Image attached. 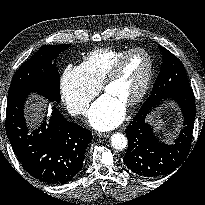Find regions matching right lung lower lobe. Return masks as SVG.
I'll use <instances>...</instances> for the list:
<instances>
[{
  "mask_svg": "<svg viewBox=\"0 0 205 205\" xmlns=\"http://www.w3.org/2000/svg\"><path fill=\"white\" fill-rule=\"evenodd\" d=\"M29 93L8 95L6 133L24 169L34 178L53 185L70 181L83 167L85 149L92 139L89 130L67 121L53 106L49 124L29 133L24 103Z\"/></svg>",
  "mask_w": 205,
  "mask_h": 205,
  "instance_id": "1",
  "label": "right lung lower lobe"
}]
</instances>
